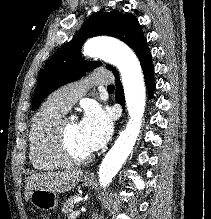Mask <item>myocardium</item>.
Segmentation results:
<instances>
[{"label":"myocardium","instance_id":"1","mask_svg":"<svg viewBox=\"0 0 211 219\" xmlns=\"http://www.w3.org/2000/svg\"><path fill=\"white\" fill-rule=\"evenodd\" d=\"M67 118L62 117L55 127L54 131V146L58 155L68 164L82 165L88 163L92 159V154L80 156L75 154L68 141L67 136Z\"/></svg>","mask_w":211,"mask_h":219}]
</instances>
